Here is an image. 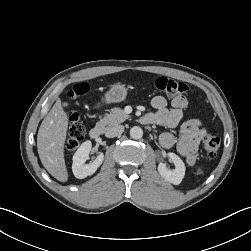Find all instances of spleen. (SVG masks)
Masks as SVG:
<instances>
[{"label":"spleen","mask_w":251,"mask_h":251,"mask_svg":"<svg viewBox=\"0 0 251 251\" xmlns=\"http://www.w3.org/2000/svg\"><path fill=\"white\" fill-rule=\"evenodd\" d=\"M201 173V170H198V174Z\"/></svg>","instance_id":"3e777b00"}]
</instances>
